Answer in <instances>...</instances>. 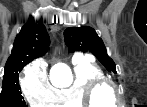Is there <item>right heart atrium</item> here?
I'll return each mask as SVG.
<instances>
[{
  "label": "right heart atrium",
  "mask_w": 147,
  "mask_h": 107,
  "mask_svg": "<svg viewBox=\"0 0 147 107\" xmlns=\"http://www.w3.org/2000/svg\"><path fill=\"white\" fill-rule=\"evenodd\" d=\"M21 88L31 106L49 104L55 92L49 82L45 66L38 62L32 63L25 71Z\"/></svg>",
  "instance_id": "d8ad5b80"
}]
</instances>
